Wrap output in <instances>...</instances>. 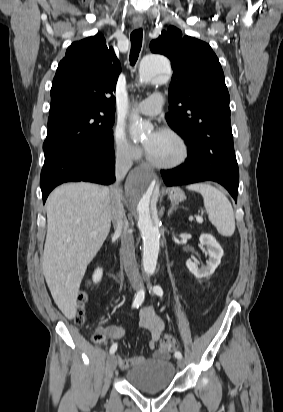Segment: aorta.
<instances>
[{"mask_svg": "<svg viewBox=\"0 0 283 412\" xmlns=\"http://www.w3.org/2000/svg\"><path fill=\"white\" fill-rule=\"evenodd\" d=\"M170 74L169 61L163 56L153 55L141 62L137 82L139 85L149 82L161 84L168 80ZM130 121V133L134 139H139L151 129V125L144 123L135 112L131 114ZM155 184V178L150 172L138 170L131 175L126 186L127 194L138 202V228L143 239L142 264L147 274L155 272L159 253L160 232L152 221L149 207Z\"/></svg>", "mask_w": 283, "mask_h": 412, "instance_id": "762f6f07", "label": "aorta"}]
</instances>
